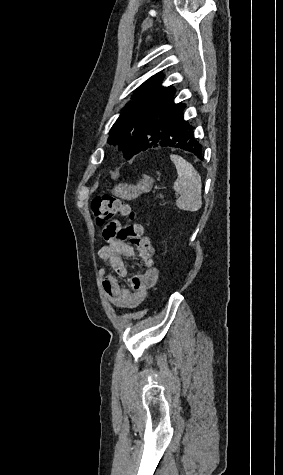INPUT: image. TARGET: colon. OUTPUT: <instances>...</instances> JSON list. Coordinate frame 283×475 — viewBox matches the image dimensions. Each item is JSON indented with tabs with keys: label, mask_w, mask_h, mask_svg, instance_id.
<instances>
[{
	"label": "colon",
	"mask_w": 283,
	"mask_h": 475,
	"mask_svg": "<svg viewBox=\"0 0 283 475\" xmlns=\"http://www.w3.org/2000/svg\"><path fill=\"white\" fill-rule=\"evenodd\" d=\"M91 212L98 226L108 224L115 215H120L123 222H120L121 229L116 238L135 246L143 264L149 268L153 266L151 239L145 234L143 225L137 220L136 212L127 202L108 194L96 196L91 202Z\"/></svg>",
	"instance_id": "5ec220e1"
}]
</instances>
